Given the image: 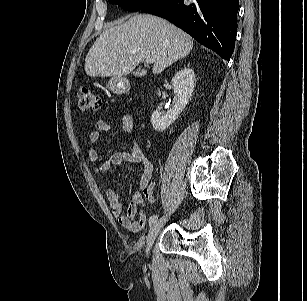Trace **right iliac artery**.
<instances>
[{
  "mask_svg": "<svg viewBox=\"0 0 307 301\" xmlns=\"http://www.w3.org/2000/svg\"><path fill=\"white\" fill-rule=\"evenodd\" d=\"M158 219L157 215H152L149 219V225L151 226L153 223H155Z\"/></svg>",
  "mask_w": 307,
  "mask_h": 301,
  "instance_id": "right-iliac-artery-1",
  "label": "right iliac artery"
}]
</instances>
